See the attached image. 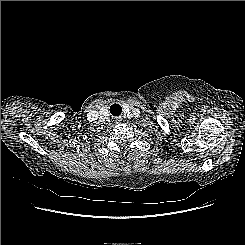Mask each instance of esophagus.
<instances>
[{
	"label": "esophagus",
	"mask_w": 245,
	"mask_h": 245,
	"mask_svg": "<svg viewBox=\"0 0 245 245\" xmlns=\"http://www.w3.org/2000/svg\"><path fill=\"white\" fill-rule=\"evenodd\" d=\"M121 120L119 118L115 119L116 123H119Z\"/></svg>",
	"instance_id": "34e87169"
}]
</instances>
